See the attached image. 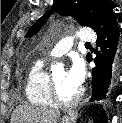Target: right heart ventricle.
<instances>
[{
  "instance_id": "right-heart-ventricle-1",
  "label": "right heart ventricle",
  "mask_w": 122,
  "mask_h": 123,
  "mask_svg": "<svg viewBox=\"0 0 122 123\" xmlns=\"http://www.w3.org/2000/svg\"><path fill=\"white\" fill-rule=\"evenodd\" d=\"M49 76L44 60H38L32 65L25 84V95L30 103L37 106L53 104L49 94Z\"/></svg>"
}]
</instances>
